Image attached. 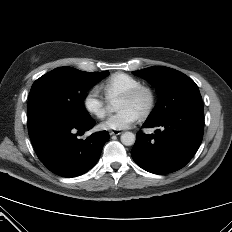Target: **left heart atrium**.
<instances>
[{
  "label": "left heart atrium",
  "mask_w": 232,
  "mask_h": 232,
  "mask_svg": "<svg viewBox=\"0 0 232 232\" xmlns=\"http://www.w3.org/2000/svg\"><path fill=\"white\" fill-rule=\"evenodd\" d=\"M140 114L131 110L123 109L116 114L111 115L107 120L102 122L101 128L104 130H123L131 127L138 119Z\"/></svg>",
  "instance_id": "obj_1"
}]
</instances>
